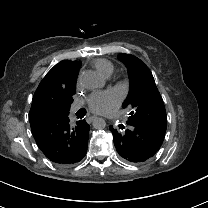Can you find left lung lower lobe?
<instances>
[{
	"label": "left lung lower lobe",
	"instance_id": "obj_1",
	"mask_svg": "<svg viewBox=\"0 0 208 208\" xmlns=\"http://www.w3.org/2000/svg\"><path fill=\"white\" fill-rule=\"evenodd\" d=\"M124 129L119 125V129L110 126L113 134L114 145L119 155L131 163H142L153 157L161 147L164 135L157 131L144 127L131 120H128Z\"/></svg>",
	"mask_w": 208,
	"mask_h": 208
}]
</instances>
